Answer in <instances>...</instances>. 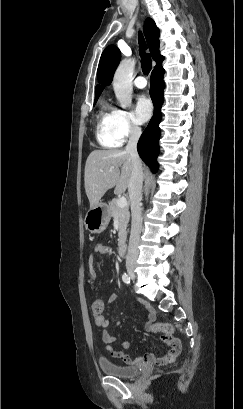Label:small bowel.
Here are the masks:
<instances>
[{
    "label": "small bowel",
    "mask_w": 243,
    "mask_h": 409,
    "mask_svg": "<svg viewBox=\"0 0 243 409\" xmlns=\"http://www.w3.org/2000/svg\"><path fill=\"white\" fill-rule=\"evenodd\" d=\"M114 252L113 248L105 244H97L93 252L88 257V264L90 268V274L93 281L97 280V276L94 270L95 256H110ZM115 296H111L108 300L109 303L115 300ZM145 312L147 314V320L144 324V329L147 332L153 331V325L156 318V313L152 307L148 304H143ZM95 324L101 328V337L105 344V349L109 355L113 358L120 359L127 364L140 363L143 365L157 364L168 365L174 363L181 354V342L178 338L174 337L172 333H165L160 341L166 348V353L163 356L143 355L137 359H133L128 354L113 347L115 336L109 331V320L103 315V309L100 313L94 314ZM130 343L128 341L123 342V348H128Z\"/></svg>",
    "instance_id": "c3829d8e"
}]
</instances>
